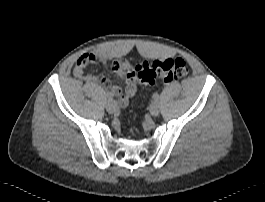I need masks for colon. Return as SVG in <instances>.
Here are the masks:
<instances>
[{
  "label": "colon",
  "mask_w": 265,
  "mask_h": 202,
  "mask_svg": "<svg viewBox=\"0 0 265 202\" xmlns=\"http://www.w3.org/2000/svg\"><path fill=\"white\" fill-rule=\"evenodd\" d=\"M189 72L190 69L183 59L168 58L153 62L141 61L135 66L132 75L142 87L147 88L156 84L158 79L164 82L178 81Z\"/></svg>",
  "instance_id": "5ec220e1"
}]
</instances>
